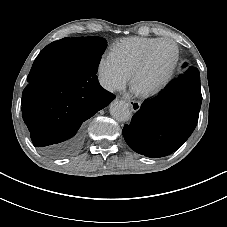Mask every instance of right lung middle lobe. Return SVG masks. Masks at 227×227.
Here are the masks:
<instances>
[{
  "mask_svg": "<svg viewBox=\"0 0 227 227\" xmlns=\"http://www.w3.org/2000/svg\"><path fill=\"white\" fill-rule=\"evenodd\" d=\"M65 39L71 42V46L60 60L61 67L77 76L88 78L96 76L101 56L106 49V40L95 36ZM44 77L40 69L32 67L27 81Z\"/></svg>",
  "mask_w": 227,
  "mask_h": 227,
  "instance_id": "1",
  "label": "right lung middle lobe"
}]
</instances>
